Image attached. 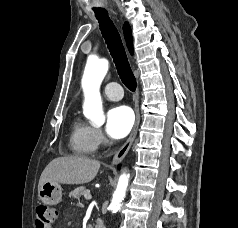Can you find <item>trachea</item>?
<instances>
[{"label": "trachea", "instance_id": "obj_1", "mask_svg": "<svg viewBox=\"0 0 238 228\" xmlns=\"http://www.w3.org/2000/svg\"><path fill=\"white\" fill-rule=\"evenodd\" d=\"M95 16L99 22L101 33L114 60L120 79L130 91H135L136 79L128 62L117 28L109 18L106 10H95Z\"/></svg>", "mask_w": 238, "mask_h": 228}]
</instances>
